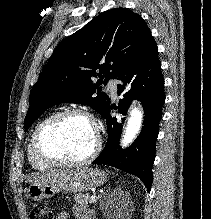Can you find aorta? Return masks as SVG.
I'll use <instances>...</instances> for the list:
<instances>
[{
  "instance_id": "aorta-1",
  "label": "aorta",
  "mask_w": 211,
  "mask_h": 219,
  "mask_svg": "<svg viewBox=\"0 0 211 219\" xmlns=\"http://www.w3.org/2000/svg\"><path fill=\"white\" fill-rule=\"evenodd\" d=\"M141 125L142 111L135 107L130 112V117L126 126V130L121 140V145L123 147H126L133 142L141 129Z\"/></svg>"
}]
</instances>
